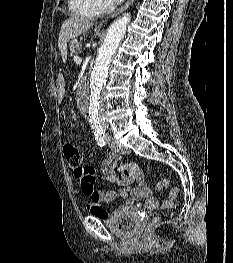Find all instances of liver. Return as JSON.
<instances>
[{
	"mask_svg": "<svg viewBox=\"0 0 233 263\" xmlns=\"http://www.w3.org/2000/svg\"><path fill=\"white\" fill-rule=\"evenodd\" d=\"M92 26L93 23L89 20L78 17H71L63 22L59 33L58 47L64 63L67 60L68 41L78 37L85 31L89 30Z\"/></svg>",
	"mask_w": 233,
	"mask_h": 263,
	"instance_id": "obj_1",
	"label": "liver"
}]
</instances>
